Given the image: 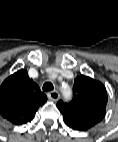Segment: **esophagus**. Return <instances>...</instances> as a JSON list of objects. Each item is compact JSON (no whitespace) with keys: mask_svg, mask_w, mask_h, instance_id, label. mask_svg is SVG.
<instances>
[{"mask_svg":"<svg viewBox=\"0 0 118 142\" xmlns=\"http://www.w3.org/2000/svg\"><path fill=\"white\" fill-rule=\"evenodd\" d=\"M47 95L48 98L52 101H57L60 97L59 92L56 90L49 92Z\"/></svg>","mask_w":118,"mask_h":142,"instance_id":"1","label":"esophagus"}]
</instances>
